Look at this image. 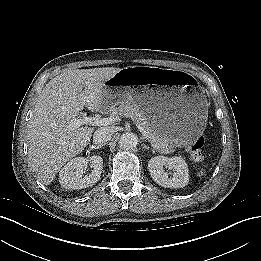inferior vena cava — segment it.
Segmentation results:
<instances>
[{
	"label": "inferior vena cava",
	"mask_w": 261,
	"mask_h": 261,
	"mask_svg": "<svg viewBox=\"0 0 261 261\" xmlns=\"http://www.w3.org/2000/svg\"><path fill=\"white\" fill-rule=\"evenodd\" d=\"M112 130L109 127H101L94 132L93 140L95 143H104L110 140Z\"/></svg>",
	"instance_id": "obj_1"
}]
</instances>
